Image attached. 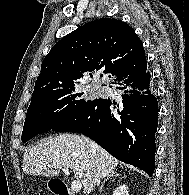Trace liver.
<instances>
[{
  "label": "liver",
  "instance_id": "1",
  "mask_svg": "<svg viewBox=\"0 0 189 195\" xmlns=\"http://www.w3.org/2000/svg\"><path fill=\"white\" fill-rule=\"evenodd\" d=\"M119 161L89 138L77 134H60L32 146L23 155V172L30 175L54 177L59 171L52 165L72 170L90 194L100 179L114 172Z\"/></svg>",
  "mask_w": 189,
  "mask_h": 195
}]
</instances>
